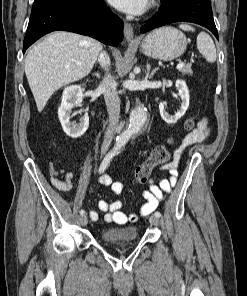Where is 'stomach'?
Segmentation results:
<instances>
[{"label":"stomach","mask_w":247,"mask_h":296,"mask_svg":"<svg viewBox=\"0 0 247 296\" xmlns=\"http://www.w3.org/2000/svg\"><path fill=\"white\" fill-rule=\"evenodd\" d=\"M145 55L170 61L180 57L187 48L186 36L172 27H162L149 33L139 44Z\"/></svg>","instance_id":"obj_1"}]
</instances>
